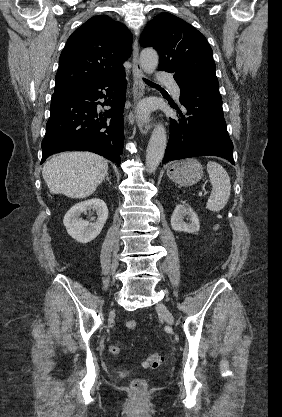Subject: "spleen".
<instances>
[{"mask_svg":"<svg viewBox=\"0 0 282 417\" xmlns=\"http://www.w3.org/2000/svg\"><path fill=\"white\" fill-rule=\"evenodd\" d=\"M207 172L212 184L211 196H209L206 209L209 211H221L227 204L231 192V182L229 174L221 164L210 160L207 164Z\"/></svg>","mask_w":282,"mask_h":417,"instance_id":"1","label":"spleen"}]
</instances>
